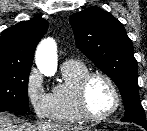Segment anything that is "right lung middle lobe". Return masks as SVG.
<instances>
[{
	"label": "right lung middle lobe",
	"mask_w": 147,
	"mask_h": 131,
	"mask_svg": "<svg viewBox=\"0 0 147 131\" xmlns=\"http://www.w3.org/2000/svg\"><path fill=\"white\" fill-rule=\"evenodd\" d=\"M29 74L30 68L0 67V112L29 111Z\"/></svg>",
	"instance_id": "dd1d6c3e"
}]
</instances>
